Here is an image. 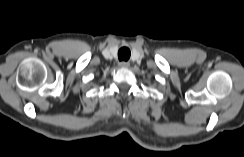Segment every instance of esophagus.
<instances>
[{
	"label": "esophagus",
	"mask_w": 244,
	"mask_h": 157,
	"mask_svg": "<svg viewBox=\"0 0 244 157\" xmlns=\"http://www.w3.org/2000/svg\"><path fill=\"white\" fill-rule=\"evenodd\" d=\"M119 66H120V67H123V68H127V67L130 66V64H129V62H120V63H119Z\"/></svg>",
	"instance_id": "obj_1"
}]
</instances>
